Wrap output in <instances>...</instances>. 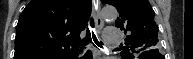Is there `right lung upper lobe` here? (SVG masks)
I'll return each mask as SVG.
<instances>
[{
	"instance_id": "obj_1",
	"label": "right lung upper lobe",
	"mask_w": 193,
	"mask_h": 59,
	"mask_svg": "<svg viewBox=\"0 0 193 59\" xmlns=\"http://www.w3.org/2000/svg\"><path fill=\"white\" fill-rule=\"evenodd\" d=\"M91 0H32L17 24L14 59H71Z\"/></svg>"
}]
</instances>
